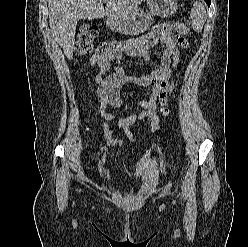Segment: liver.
Returning a JSON list of instances; mask_svg holds the SVG:
<instances>
[{
	"instance_id": "1",
	"label": "liver",
	"mask_w": 248,
	"mask_h": 247,
	"mask_svg": "<svg viewBox=\"0 0 248 247\" xmlns=\"http://www.w3.org/2000/svg\"><path fill=\"white\" fill-rule=\"evenodd\" d=\"M143 0H48L49 26L68 59L73 57L76 25L79 19H127L138 10Z\"/></svg>"
}]
</instances>
